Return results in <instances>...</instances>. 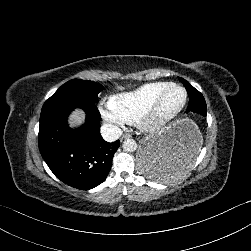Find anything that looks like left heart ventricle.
<instances>
[{"instance_id": "obj_1", "label": "left heart ventricle", "mask_w": 251, "mask_h": 251, "mask_svg": "<svg viewBox=\"0 0 251 251\" xmlns=\"http://www.w3.org/2000/svg\"><path fill=\"white\" fill-rule=\"evenodd\" d=\"M184 100L185 94L182 90L170 88L165 100L163 101L158 111V118L167 120L174 117L181 109Z\"/></svg>"}]
</instances>
